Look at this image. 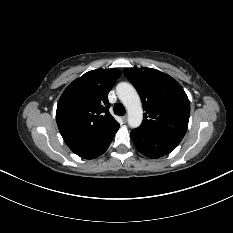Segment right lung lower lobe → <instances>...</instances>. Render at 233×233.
I'll use <instances>...</instances> for the list:
<instances>
[{"label":"right lung lower lobe","instance_id":"1","mask_svg":"<svg viewBox=\"0 0 233 233\" xmlns=\"http://www.w3.org/2000/svg\"><path fill=\"white\" fill-rule=\"evenodd\" d=\"M118 129L113 132L102 136L101 138L80 146L70 148L75 154L85 159H93L103 154L109 147L115 133Z\"/></svg>","mask_w":233,"mask_h":233}]
</instances>
